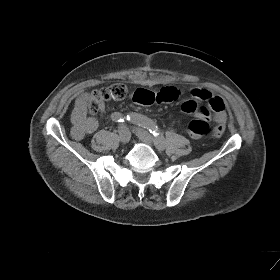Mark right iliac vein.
<instances>
[{
    "label": "right iliac vein",
    "mask_w": 280,
    "mask_h": 280,
    "mask_svg": "<svg viewBox=\"0 0 280 280\" xmlns=\"http://www.w3.org/2000/svg\"><path fill=\"white\" fill-rule=\"evenodd\" d=\"M119 138L121 140L122 143H127L129 142L130 138H131V133L129 131V129L122 125L120 128H119Z\"/></svg>",
    "instance_id": "obj_1"
}]
</instances>
